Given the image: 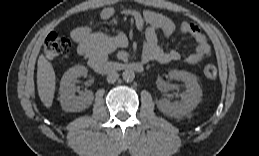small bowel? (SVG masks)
<instances>
[{"label":"small bowel","instance_id":"c3829d8e","mask_svg":"<svg viewBox=\"0 0 259 156\" xmlns=\"http://www.w3.org/2000/svg\"><path fill=\"white\" fill-rule=\"evenodd\" d=\"M123 15L133 19L136 28L144 34V47L142 61L145 63L158 62H184L197 64L209 57L211 48L206 37L199 27L193 23L182 22L179 30L183 35H190L195 39L196 48L188 56H182L176 50H166L159 45L158 35L161 33L165 38H170L175 32L173 21L167 16L155 11L125 10ZM115 15L113 7H104L100 12L102 20H109ZM71 38L77 44L78 52L89 60H105L106 56L117 49L125 48L128 39L123 33L103 34L95 33L91 26H81L72 30Z\"/></svg>","mask_w":259,"mask_h":156}]
</instances>
